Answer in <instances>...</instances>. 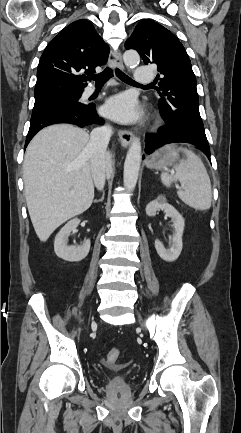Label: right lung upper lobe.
<instances>
[{"label":"right lung upper lobe","instance_id":"1","mask_svg":"<svg viewBox=\"0 0 241 433\" xmlns=\"http://www.w3.org/2000/svg\"><path fill=\"white\" fill-rule=\"evenodd\" d=\"M109 47L87 20L64 28L45 48L38 65L34 96L52 92L83 91L96 66L107 62Z\"/></svg>","mask_w":241,"mask_h":433}]
</instances>
